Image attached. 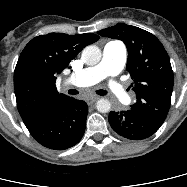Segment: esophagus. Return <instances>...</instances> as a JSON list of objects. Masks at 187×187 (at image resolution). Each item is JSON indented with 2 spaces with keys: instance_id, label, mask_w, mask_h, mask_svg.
Returning <instances> with one entry per match:
<instances>
[{
  "instance_id": "obj_1",
  "label": "esophagus",
  "mask_w": 187,
  "mask_h": 187,
  "mask_svg": "<svg viewBox=\"0 0 187 187\" xmlns=\"http://www.w3.org/2000/svg\"><path fill=\"white\" fill-rule=\"evenodd\" d=\"M99 99L98 96H92V97H88L86 99V102L88 105H92L94 102H96Z\"/></svg>"
}]
</instances>
